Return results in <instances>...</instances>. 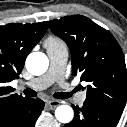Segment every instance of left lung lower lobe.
Returning a JSON list of instances; mask_svg holds the SVG:
<instances>
[{
  "label": "left lung lower lobe",
  "mask_w": 127,
  "mask_h": 127,
  "mask_svg": "<svg viewBox=\"0 0 127 127\" xmlns=\"http://www.w3.org/2000/svg\"><path fill=\"white\" fill-rule=\"evenodd\" d=\"M74 119L64 127H116L122 112L84 102L83 107L73 105Z\"/></svg>",
  "instance_id": "0a47b994"
}]
</instances>
